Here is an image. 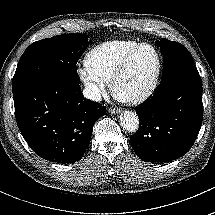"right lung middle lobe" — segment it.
Segmentation results:
<instances>
[{
	"label": "right lung middle lobe",
	"mask_w": 215,
	"mask_h": 215,
	"mask_svg": "<svg viewBox=\"0 0 215 215\" xmlns=\"http://www.w3.org/2000/svg\"><path fill=\"white\" fill-rule=\"evenodd\" d=\"M88 45L85 34H63L32 43L17 65L13 92L41 80L79 84L76 63Z\"/></svg>",
	"instance_id": "1"
}]
</instances>
